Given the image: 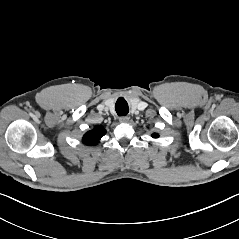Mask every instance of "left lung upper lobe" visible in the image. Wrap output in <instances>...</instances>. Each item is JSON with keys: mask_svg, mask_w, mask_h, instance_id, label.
<instances>
[{"mask_svg": "<svg viewBox=\"0 0 239 239\" xmlns=\"http://www.w3.org/2000/svg\"><path fill=\"white\" fill-rule=\"evenodd\" d=\"M152 136H153L154 138H157V137H158V134L154 133Z\"/></svg>", "mask_w": 239, "mask_h": 239, "instance_id": "5c2ea615", "label": "left lung upper lobe"}]
</instances>
